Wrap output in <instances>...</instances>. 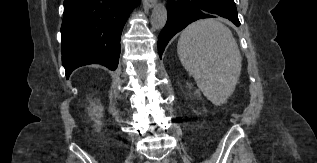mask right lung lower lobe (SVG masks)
Wrapping results in <instances>:
<instances>
[{"label": "right lung lower lobe", "mask_w": 317, "mask_h": 163, "mask_svg": "<svg viewBox=\"0 0 317 163\" xmlns=\"http://www.w3.org/2000/svg\"><path fill=\"white\" fill-rule=\"evenodd\" d=\"M140 0H64L61 27L62 64L68 79L80 66L118 65L120 37Z\"/></svg>", "instance_id": "98d812e1"}]
</instances>
